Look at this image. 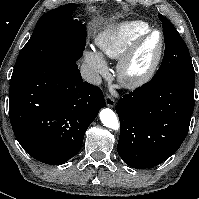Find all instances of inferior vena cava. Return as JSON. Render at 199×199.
<instances>
[{
    "instance_id": "inferior-vena-cava-1",
    "label": "inferior vena cava",
    "mask_w": 199,
    "mask_h": 199,
    "mask_svg": "<svg viewBox=\"0 0 199 199\" xmlns=\"http://www.w3.org/2000/svg\"><path fill=\"white\" fill-rule=\"evenodd\" d=\"M80 72H81L82 78L85 81H87L91 84H94V85L101 84V82H102L101 76L96 71H94L92 68H90L89 66L82 65Z\"/></svg>"
}]
</instances>
